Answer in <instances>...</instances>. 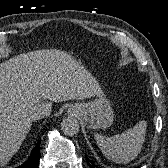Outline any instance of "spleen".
<instances>
[{
	"label": "spleen",
	"instance_id": "spleen-1",
	"mask_svg": "<svg viewBox=\"0 0 168 168\" xmlns=\"http://www.w3.org/2000/svg\"><path fill=\"white\" fill-rule=\"evenodd\" d=\"M146 127V121L142 120L120 135L105 137L96 134L95 139L98 147L109 160L128 163L140 153L145 140Z\"/></svg>",
	"mask_w": 168,
	"mask_h": 168
}]
</instances>
